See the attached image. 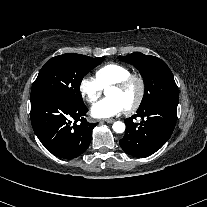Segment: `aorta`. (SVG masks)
Here are the masks:
<instances>
[{"instance_id": "obj_1", "label": "aorta", "mask_w": 207, "mask_h": 207, "mask_svg": "<svg viewBox=\"0 0 207 207\" xmlns=\"http://www.w3.org/2000/svg\"><path fill=\"white\" fill-rule=\"evenodd\" d=\"M116 133H123L125 131V124L121 121H117L112 126Z\"/></svg>"}]
</instances>
